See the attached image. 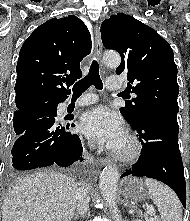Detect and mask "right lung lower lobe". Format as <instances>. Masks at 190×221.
I'll return each mask as SVG.
<instances>
[{
  "label": "right lung lower lobe",
  "instance_id": "1",
  "mask_svg": "<svg viewBox=\"0 0 190 221\" xmlns=\"http://www.w3.org/2000/svg\"><path fill=\"white\" fill-rule=\"evenodd\" d=\"M65 100L51 103L55 113L36 120L17 138L11 151L13 168L29 170L52 164L66 167L82 161L83 148L79 136L65 132L56 118L57 105Z\"/></svg>",
  "mask_w": 190,
  "mask_h": 221
}]
</instances>
